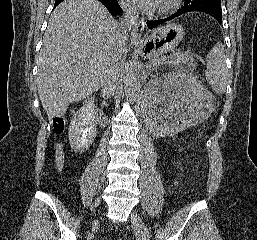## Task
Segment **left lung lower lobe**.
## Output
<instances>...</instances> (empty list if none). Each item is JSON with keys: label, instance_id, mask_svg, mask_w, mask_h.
<instances>
[{"label": "left lung lower lobe", "instance_id": "obj_1", "mask_svg": "<svg viewBox=\"0 0 257 240\" xmlns=\"http://www.w3.org/2000/svg\"><path fill=\"white\" fill-rule=\"evenodd\" d=\"M188 12H203L206 14H209L210 16H212L220 25L222 24V9H221V4H206V5H201V6H195V7H191V6H183L182 8H180L176 13H174L173 15L164 18V19H158V20H150L147 21V26L150 29H153L157 26H159L160 24L170 21L178 16H181L185 13Z\"/></svg>", "mask_w": 257, "mask_h": 240}]
</instances>
